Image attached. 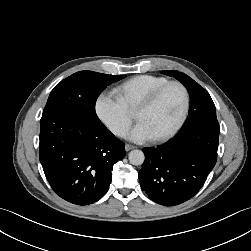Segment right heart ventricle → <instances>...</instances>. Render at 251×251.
Listing matches in <instances>:
<instances>
[{
	"mask_svg": "<svg viewBox=\"0 0 251 251\" xmlns=\"http://www.w3.org/2000/svg\"><path fill=\"white\" fill-rule=\"evenodd\" d=\"M169 81L168 78L155 75L135 76L117 87V93L132 112L153 91Z\"/></svg>",
	"mask_w": 251,
	"mask_h": 251,
	"instance_id": "e07e8e85",
	"label": "right heart ventricle"
}]
</instances>
